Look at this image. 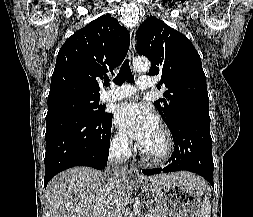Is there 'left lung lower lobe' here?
Here are the masks:
<instances>
[{
    "instance_id": "1",
    "label": "left lung lower lobe",
    "mask_w": 253,
    "mask_h": 217,
    "mask_svg": "<svg viewBox=\"0 0 253 217\" xmlns=\"http://www.w3.org/2000/svg\"><path fill=\"white\" fill-rule=\"evenodd\" d=\"M174 152L164 168L144 169V175L187 170L204 177L213 186L212 138L210 121L182 118L170 128Z\"/></svg>"
}]
</instances>
